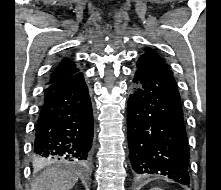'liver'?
I'll return each mask as SVG.
<instances>
[{
    "instance_id": "6515ba94",
    "label": "liver",
    "mask_w": 221,
    "mask_h": 190,
    "mask_svg": "<svg viewBox=\"0 0 221 190\" xmlns=\"http://www.w3.org/2000/svg\"><path fill=\"white\" fill-rule=\"evenodd\" d=\"M78 178L55 167L47 168L32 184V190H70Z\"/></svg>"
}]
</instances>
